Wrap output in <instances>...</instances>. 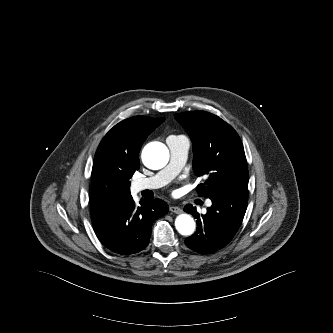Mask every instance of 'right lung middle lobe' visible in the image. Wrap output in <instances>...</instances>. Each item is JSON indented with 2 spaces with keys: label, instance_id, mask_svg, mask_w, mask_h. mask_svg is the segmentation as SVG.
Listing matches in <instances>:
<instances>
[{
  "label": "right lung middle lobe",
  "instance_id": "right-lung-middle-lobe-1",
  "mask_svg": "<svg viewBox=\"0 0 333 333\" xmlns=\"http://www.w3.org/2000/svg\"><path fill=\"white\" fill-rule=\"evenodd\" d=\"M97 205H105V204H101L99 202H92V206H97Z\"/></svg>",
  "mask_w": 333,
  "mask_h": 333
}]
</instances>
